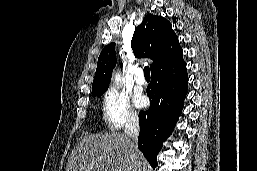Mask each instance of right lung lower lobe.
<instances>
[{"label": "right lung lower lobe", "mask_w": 257, "mask_h": 171, "mask_svg": "<svg viewBox=\"0 0 257 171\" xmlns=\"http://www.w3.org/2000/svg\"><path fill=\"white\" fill-rule=\"evenodd\" d=\"M151 75L147 88L151 105L147 111L139 113L138 147L155 168L162 143L172 133L183 108L188 84L186 63L182 58L171 66L153 71Z\"/></svg>", "instance_id": "1"}]
</instances>
